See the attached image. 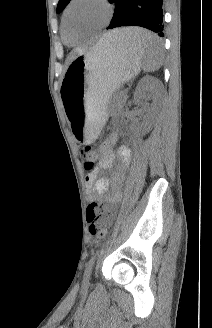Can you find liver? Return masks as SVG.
<instances>
[{"label": "liver", "mask_w": 212, "mask_h": 328, "mask_svg": "<svg viewBox=\"0 0 212 328\" xmlns=\"http://www.w3.org/2000/svg\"><path fill=\"white\" fill-rule=\"evenodd\" d=\"M131 31H132L131 28H124V29L111 31V32L105 34L104 36H119L121 38V40H123L125 42H129ZM84 52H85V50H83V49H79V48L74 49L71 53V58H70L69 62L73 61L78 55H80Z\"/></svg>", "instance_id": "6515ba94"}]
</instances>
